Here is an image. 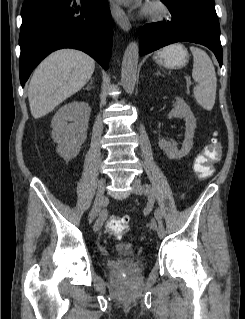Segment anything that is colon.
<instances>
[{"label": "colon", "instance_id": "1", "mask_svg": "<svg viewBox=\"0 0 245 319\" xmlns=\"http://www.w3.org/2000/svg\"><path fill=\"white\" fill-rule=\"evenodd\" d=\"M221 144L214 140L206 145L203 151L196 157L193 170L198 178L205 179L214 172V164L220 159ZM129 228L128 216L111 217L107 222V230L116 237H121Z\"/></svg>", "mask_w": 245, "mask_h": 319}]
</instances>
